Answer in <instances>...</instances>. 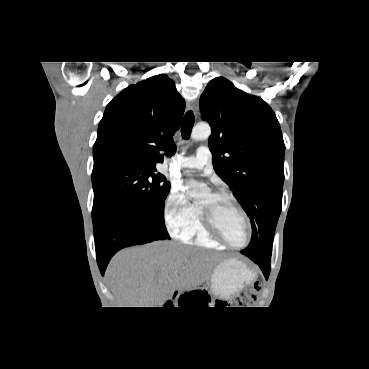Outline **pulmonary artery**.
Instances as JSON below:
<instances>
[{
  "mask_svg": "<svg viewBox=\"0 0 369 369\" xmlns=\"http://www.w3.org/2000/svg\"><path fill=\"white\" fill-rule=\"evenodd\" d=\"M178 165L183 169L204 170L207 174L212 171V155L208 147L201 146L194 156L181 157Z\"/></svg>",
  "mask_w": 369,
  "mask_h": 369,
  "instance_id": "pulmonary-artery-1",
  "label": "pulmonary artery"
}]
</instances>
